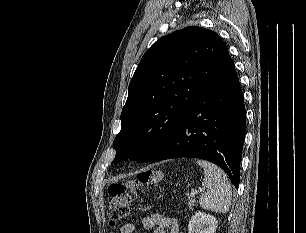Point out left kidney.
<instances>
[{
  "label": "left kidney",
  "instance_id": "left-kidney-1",
  "mask_svg": "<svg viewBox=\"0 0 306 233\" xmlns=\"http://www.w3.org/2000/svg\"><path fill=\"white\" fill-rule=\"evenodd\" d=\"M218 220L205 212H195L188 224V233H215Z\"/></svg>",
  "mask_w": 306,
  "mask_h": 233
}]
</instances>
